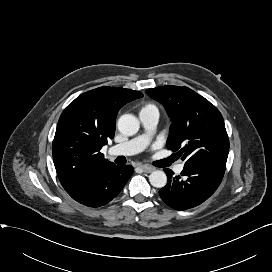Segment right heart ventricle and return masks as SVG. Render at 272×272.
<instances>
[{"mask_svg":"<svg viewBox=\"0 0 272 272\" xmlns=\"http://www.w3.org/2000/svg\"><path fill=\"white\" fill-rule=\"evenodd\" d=\"M148 108H155V106L148 104V105H145L142 109H148Z\"/></svg>","mask_w":272,"mask_h":272,"instance_id":"right-heart-ventricle-1","label":"right heart ventricle"}]
</instances>
